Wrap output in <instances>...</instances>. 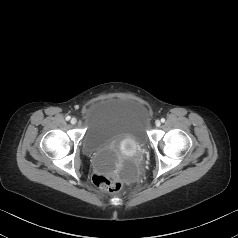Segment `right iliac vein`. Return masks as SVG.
Wrapping results in <instances>:
<instances>
[{"mask_svg": "<svg viewBox=\"0 0 238 238\" xmlns=\"http://www.w3.org/2000/svg\"><path fill=\"white\" fill-rule=\"evenodd\" d=\"M77 123V119L76 118H72L71 119V124L75 125Z\"/></svg>", "mask_w": 238, "mask_h": 238, "instance_id": "obj_1", "label": "right iliac vein"}]
</instances>
